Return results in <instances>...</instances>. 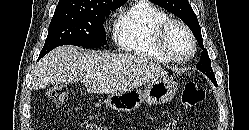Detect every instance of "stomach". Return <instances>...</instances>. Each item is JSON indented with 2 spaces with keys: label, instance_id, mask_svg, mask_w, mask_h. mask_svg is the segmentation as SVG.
<instances>
[{
  "label": "stomach",
  "instance_id": "stomach-1",
  "mask_svg": "<svg viewBox=\"0 0 249 130\" xmlns=\"http://www.w3.org/2000/svg\"><path fill=\"white\" fill-rule=\"evenodd\" d=\"M178 90L175 81L169 78H159L151 81L145 90L131 89L121 93L110 94L106 100L109 108L118 112H130L144 102L147 104H164L173 99Z\"/></svg>",
  "mask_w": 249,
  "mask_h": 130
}]
</instances>
